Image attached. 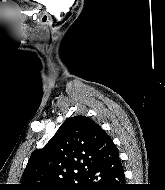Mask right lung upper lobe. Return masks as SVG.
I'll return each mask as SVG.
<instances>
[{
	"label": "right lung upper lobe",
	"instance_id": "obj_1",
	"mask_svg": "<svg viewBox=\"0 0 165 190\" xmlns=\"http://www.w3.org/2000/svg\"><path fill=\"white\" fill-rule=\"evenodd\" d=\"M118 153L112 139L93 120L75 116L65 121L44 148L34 151L20 190H54L81 185L83 174Z\"/></svg>",
	"mask_w": 165,
	"mask_h": 190
}]
</instances>
